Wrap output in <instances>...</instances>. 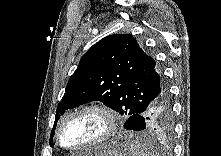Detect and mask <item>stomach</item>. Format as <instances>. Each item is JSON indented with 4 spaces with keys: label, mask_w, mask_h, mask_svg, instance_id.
I'll return each instance as SVG.
<instances>
[{
    "label": "stomach",
    "mask_w": 221,
    "mask_h": 156,
    "mask_svg": "<svg viewBox=\"0 0 221 156\" xmlns=\"http://www.w3.org/2000/svg\"><path fill=\"white\" fill-rule=\"evenodd\" d=\"M90 156H130L129 148L124 143L111 142L101 147L90 149Z\"/></svg>",
    "instance_id": "stomach-1"
}]
</instances>
